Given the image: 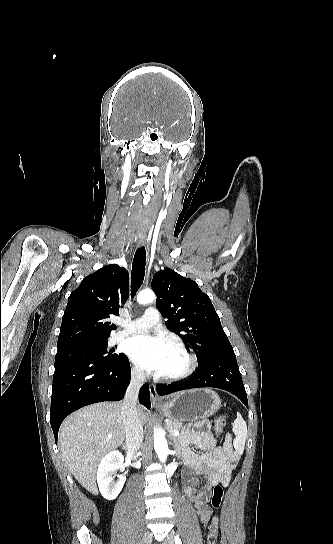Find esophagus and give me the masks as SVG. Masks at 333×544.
Masks as SVG:
<instances>
[{"label":"esophagus","mask_w":333,"mask_h":544,"mask_svg":"<svg viewBox=\"0 0 333 544\" xmlns=\"http://www.w3.org/2000/svg\"><path fill=\"white\" fill-rule=\"evenodd\" d=\"M145 243H146V237L144 235H140L138 237L137 245L139 247H141V246L145 245ZM149 391H150L151 402L153 404H159V403L162 402L161 398L158 395L156 386L154 384L149 385Z\"/></svg>","instance_id":"1"}]
</instances>
